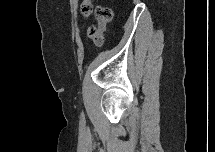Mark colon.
<instances>
[{
  "label": "colon",
  "instance_id": "1",
  "mask_svg": "<svg viewBox=\"0 0 215 152\" xmlns=\"http://www.w3.org/2000/svg\"><path fill=\"white\" fill-rule=\"evenodd\" d=\"M80 12L85 18L89 17L92 13L95 14L97 24L89 28L88 35L94 45H102L104 42V29L112 19L111 9L104 5L94 7L90 1L85 0L80 4Z\"/></svg>",
  "mask_w": 215,
  "mask_h": 152
}]
</instances>
